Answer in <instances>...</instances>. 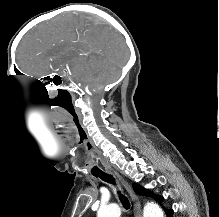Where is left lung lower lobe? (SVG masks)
<instances>
[{
    "label": "left lung lower lobe",
    "mask_w": 219,
    "mask_h": 217,
    "mask_svg": "<svg viewBox=\"0 0 219 217\" xmlns=\"http://www.w3.org/2000/svg\"><path fill=\"white\" fill-rule=\"evenodd\" d=\"M165 213L167 217H172L173 216V210L172 209H165Z\"/></svg>",
    "instance_id": "0a47b994"
}]
</instances>
